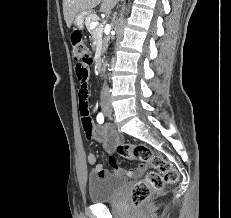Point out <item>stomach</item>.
Masks as SVG:
<instances>
[{
  "mask_svg": "<svg viewBox=\"0 0 231 218\" xmlns=\"http://www.w3.org/2000/svg\"><path fill=\"white\" fill-rule=\"evenodd\" d=\"M89 13L87 12H80L76 15L74 18V25L78 29H83L84 27V18L88 15Z\"/></svg>",
  "mask_w": 231,
  "mask_h": 218,
  "instance_id": "0dacf381",
  "label": "stomach"
}]
</instances>
